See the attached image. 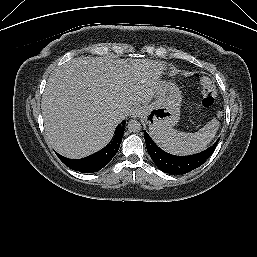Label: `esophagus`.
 Returning a JSON list of instances; mask_svg holds the SVG:
<instances>
[{
	"label": "esophagus",
	"instance_id": "obj_1",
	"mask_svg": "<svg viewBox=\"0 0 257 257\" xmlns=\"http://www.w3.org/2000/svg\"><path fill=\"white\" fill-rule=\"evenodd\" d=\"M140 114H141V109L138 107L133 108L131 111V115L134 118L138 117Z\"/></svg>",
	"mask_w": 257,
	"mask_h": 257
}]
</instances>
